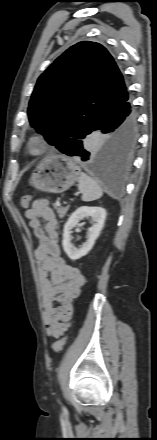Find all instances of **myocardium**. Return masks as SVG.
<instances>
[{
    "instance_id": "myocardium-1",
    "label": "myocardium",
    "mask_w": 157,
    "mask_h": 440,
    "mask_svg": "<svg viewBox=\"0 0 157 440\" xmlns=\"http://www.w3.org/2000/svg\"><path fill=\"white\" fill-rule=\"evenodd\" d=\"M26 146L30 153L38 155L46 150L47 143L41 135L34 134L28 138Z\"/></svg>"
}]
</instances>
